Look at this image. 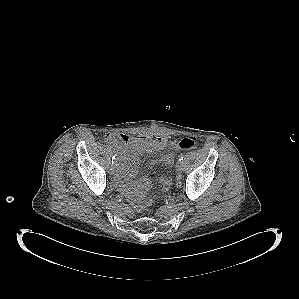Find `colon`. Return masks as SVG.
Returning a JSON list of instances; mask_svg holds the SVG:
<instances>
[{"label":"colon","instance_id":"1","mask_svg":"<svg viewBox=\"0 0 299 299\" xmlns=\"http://www.w3.org/2000/svg\"><path fill=\"white\" fill-rule=\"evenodd\" d=\"M196 145V140L195 138H190V137H185L182 138L179 142H178V147L182 150H190L193 149ZM178 171V170H177ZM179 182V181H178ZM150 202H146L145 205H148Z\"/></svg>","mask_w":299,"mask_h":299}]
</instances>
